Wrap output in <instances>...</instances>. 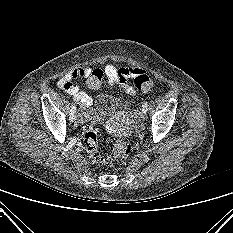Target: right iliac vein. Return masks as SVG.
Instances as JSON below:
<instances>
[{"label": "right iliac vein", "instance_id": "1", "mask_svg": "<svg viewBox=\"0 0 233 233\" xmlns=\"http://www.w3.org/2000/svg\"><path fill=\"white\" fill-rule=\"evenodd\" d=\"M80 118H81V115H80L79 113H77V114L75 115V118H74V120H75V125H76V126L79 124Z\"/></svg>", "mask_w": 233, "mask_h": 233}]
</instances>
